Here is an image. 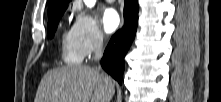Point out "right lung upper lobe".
Masks as SVG:
<instances>
[{"label":"right lung upper lobe","mask_w":221,"mask_h":102,"mask_svg":"<svg viewBox=\"0 0 221 102\" xmlns=\"http://www.w3.org/2000/svg\"><path fill=\"white\" fill-rule=\"evenodd\" d=\"M70 0H49L48 18L52 17L56 12L67 8L66 3Z\"/></svg>","instance_id":"cb5924a9"}]
</instances>
